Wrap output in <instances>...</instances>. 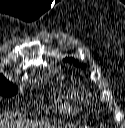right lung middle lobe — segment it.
Returning <instances> with one entry per match:
<instances>
[{
    "label": "right lung middle lobe",
    "instance_id": "1",
    "mask_svg": "<svg viewBox=\"0 0 125 128\" xmlns=\"http://www.w3.org/2000/svg\"><path fill=\"white\" fill-rule=\"evenodd\" d=\"M18 88L7 81L2 74H0V95L12 96L17 93Z\"/></svg>",
    "mask_w": 125,
    "mask_h": 128
}]
</instances>
